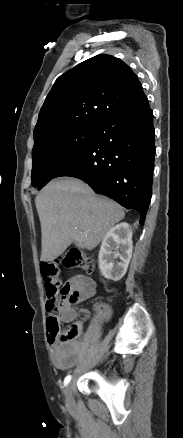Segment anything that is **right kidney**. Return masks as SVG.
Here are the masks:
<instances>
[{
    "instance_id": "ca27d5eb",
    "label": "right kidney",
    "mask_w": 183,
    "mask_h": 438,
    "mask_svg": "<svg viewBox=\"0 0 183 438\" xmlns=\"http://www.w3.org/2000/svg\"><path fill=\"white\" fill-rule=\"evenodd\" d=\"M132 231L130 224L122 222L104 236L98 258L100 271L105 278L118 281L125 275L132 257Z\"/></svg>"
}]
</instances>
